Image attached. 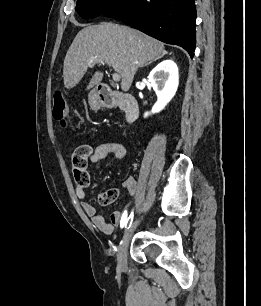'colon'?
<instances>
[{
  "mask_svg": "<svg viewBox=\"0 0 261 306\" xmlns=\"http://www.w3.org/2000/svg\"><path fill=\"white\" fill-rule=\"evenodd\" d=\"M52 115L53 118L60 122L62 126H67L69 123V112L64 97L61 92L56 91L53 94L52 103ZM92 152L90 145L83 144L78 146L73 154V166L76 169H82L86 166L87 160ZM119 190L112 187L106 191V193L100 198L102 204H110L117 199Z\"/></svg>",
  "mask_w": 261,
  "mask_h": 306,
  "instance_id": "colon-1",
  "label": "colon"
}]
</instances>
